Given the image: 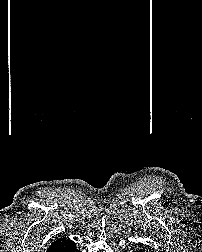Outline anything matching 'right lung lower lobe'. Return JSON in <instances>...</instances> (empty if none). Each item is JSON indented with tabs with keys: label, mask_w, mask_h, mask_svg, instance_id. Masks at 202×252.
<instances>
[{
	"label": "right lung lower lobe",
	"mask_w": 202,
	"mask_h": 252,
	"mask_svg": "<svg viewBox=\"0 0 202 252\" xmlns=\"http://www.w3.org/2000/svg\"><path fill=\"white\" fill-rule=\"evenodd\" d=\"M64 252H79L78 249L76 248L75 243L72 244L70 247L64 250Z\"/></svg>",
	"instance_id": "right-lung-lower-lobe-1"
}]
</instances>
